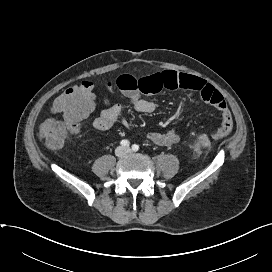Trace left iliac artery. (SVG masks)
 Listing matches in <instances>:
<instances>
[{
    "label": "left iliac artery",
    "instance_id": "left-iliac-artery-1",
    "mask_svg": "<svg viewBox=\"0 0 272 272\" xmlns=\"http://www.w3.org/2000/svg\"><path fill=\"white\" fill-rule=\"evenodd\" d=\"M132 150L133 151H138L139 150V146L137 144H133L132 145Z\"/></svg>",
    "mask_w": 272,
    "mask_h": 272
}]
</instances>
